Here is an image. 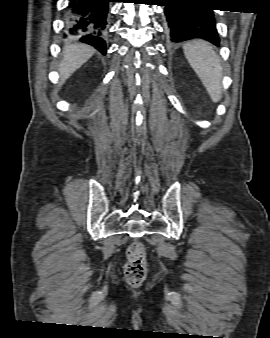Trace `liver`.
<instances>
[{
  "label": "liver",
  "instance_id": "6515ba94",
  "mask_svg": "<svg viewBox=\"0 0 270 338\" xmlns=\"http://www.w3.org/2000/svg\"><path fill=\"white\" fill-rule=\"evenodd\" d=\"M95 49L86 44H72L64 47L63 60L59 66L61 83L65 82L77 69L86 63L95 53Z\"/></svg>",
  "mask_w": 270,
  "mask_h": 338
}]
</instances>
